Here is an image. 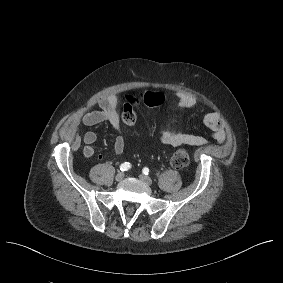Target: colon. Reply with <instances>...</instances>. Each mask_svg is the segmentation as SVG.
Here are the masks:
<instances>
[{
  "label": "colon",
  "instance_id": "obj_1",
  "mask_svg": "<svg viewBox=\"0 0 283 283\" xmlns=\"http://www.w3.org/2000/svg\"><path fill=\"white\" fill-rule=\"evenodd\" d=\"M163 102L164 95L157 91H145L135 96H128L121 115L123 127L127 128L135 124L137 119L135 108L138 105L143 104L153 108L161 105ZM189 161V153L185 149L176 150L171 158L172 166L177 169L186 167Z\"/></svg>",
  "mask_w": 283,
  "mask_h": 283
}]
</instances>
